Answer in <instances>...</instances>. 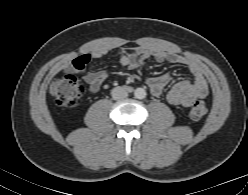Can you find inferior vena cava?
Listing matches in <instances>:
<instances>
[{"label":"inferior vena cava","instance_id":"inferior-vena-cava-1","mask_svg":"<svg viewBox=\"0 0 248 195\" xmlns=\"http://www.w3.org/2000/svg\"><path fill=\"white\" fill-rule=\"evenodd\" d=\"M111 94L114 100H122L128 96L127 90L121 86L113 88Z\"/></svg>","mask_w":248,"mask_h":195}]
</instances>
